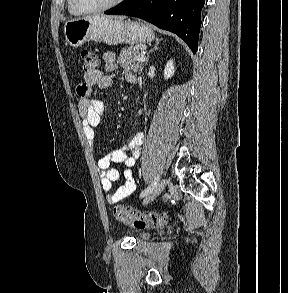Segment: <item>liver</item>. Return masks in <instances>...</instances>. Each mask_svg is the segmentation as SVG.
Here are the masks:
<instances>
[{
  "label": "liver",
  "mask_w": 288,
  "mask_h": 293,
  "mask_svg": "<svg viewBox=\"0 0 288 293\" xmlns=\"http://www.w3.org/2000/svg\"><path fill=\"white\" fill-rule=\"evenodd\" d=\"M106 17H108V16H106ZM111 18H116V19H121V20L124 19V17H113V16H111Z\"/></svg>",
  "instance_id": "obj_1"
}]
</instances>
